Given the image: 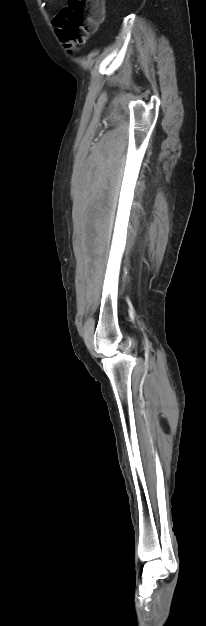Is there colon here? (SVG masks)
Wrapping results in <instances>:
<instances>
[{
    "label": "colon",
    "mask_w": 206,
    "mask_h": 626,
    "mask_svg": "<svg viewBox=\"0 0 206 626\" xmlns=\"http://www.w3.org/2000/svg\"><path fill=\"white\" fill-rule=\"evenodd\" d=\"M103 18L102 0H68L53 21L60 40L66 47H73L85 42Z\"/></svg>",
    "instance_id": "colon-1"
}]
</instances>
